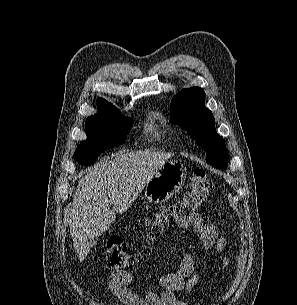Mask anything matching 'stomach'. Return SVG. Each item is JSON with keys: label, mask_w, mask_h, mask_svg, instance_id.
Masks as SVG:
<instances>
[{"label": "stomach", "mask_w": 297, "mask_h": 305, "mask_svg": "<svg viewBox=\"0 0 297 305\" xmlns=\"http://www.w3.org/2000/svg\"><path fill=\"white\" fill-rule=\"evenodd\" d=\"M187 170L177 160H169L160 167L145 185V197L151 203L169 200L184 185Z\"/></svg>", "instance_id": "obj_1"}]
</instances>
